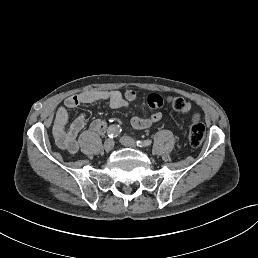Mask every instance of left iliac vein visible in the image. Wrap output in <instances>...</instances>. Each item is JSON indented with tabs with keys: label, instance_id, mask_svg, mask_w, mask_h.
<instances>
[{
	"label": "left iliac vein",
	"instance_id": "4c4485c4",
	"mask_svg": "<svg viewBox=\"0 0 258 258\" xmlns=\"http://www.w3.org/2000/svg\"><path fill=\"white\" fill-rule=\"evenodd\" d=\"M118 141H121L123 145H127L131 148L137 147V142L132 137L118 136Z\"/></svg>",
	"mask_w": 258,
	"mask_h": 258
}]
</instances>
